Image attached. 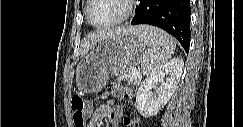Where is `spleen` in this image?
I'll return each instance as SVG.
<instances>
[{
  "label": "spleen",
  "instance_id": "3e777b00",
  "mask_svg": "<svg viewBox=\"0 0 243 127\" xmlns=\"http://www.w3.org/2000/svg\"><path fill=\"white\" fill-rule=\"evenodd\" d=\"M147 46L141 70L146 75H151L162 68L175 50V41L163 30L151 26H141L137 31Z\"/></svg>",
  "mask_w": 243,
  "mask_h": 127
}]
</instances>
